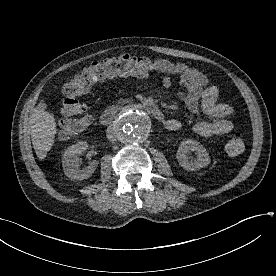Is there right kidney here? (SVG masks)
<instances>
[{
	"instance_id": "1",
	"label": "right kidney",
	"mask_w": 276,
	"mask_h": 276,
	"mask_svg": "<svg viewBox=\"0 0 276 276\" xmlns=\"http://www.w3.org/2000/svg\"><path fill=\"white\" fill-rule=\"evenodd\" d=\"M88 148V143L85 141L78 142L69 146L63 154L62 165L65 175L71 180H84L90 177L97 165V161H92L88 166L80 168L79 155Z\"/></svg>"
}]
</instances>
